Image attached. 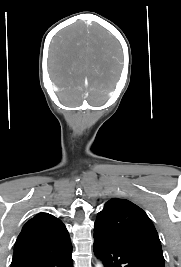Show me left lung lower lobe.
Instances as JSON below:
<instances>
[{"instance_id": "0a47b994", "label": "left lung lower lobe", "mask_w": 181, "mask_h": 267, "mask_svg": "<svg viewBox=\"0 0 181 267\" xmlns=\"http://www.w3.org/2000/svg\"><path fill=\"white\" fill-rule=\"evenodd\" d=\"M93 249L104 267H164L163 263L106 235L94 234Z\"/></svg>"}]
</instances>
